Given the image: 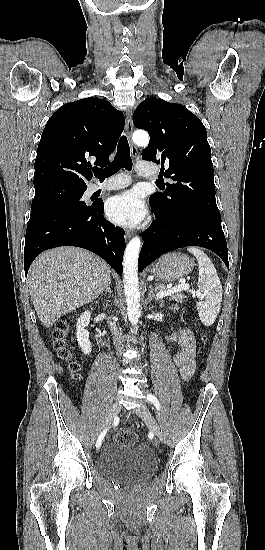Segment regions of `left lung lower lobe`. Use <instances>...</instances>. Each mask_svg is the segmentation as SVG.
I'll list each match as a JSON object with an SVG mask.
<instances>
[{
    "label": "left lung lower lobe",
    "instance_id": "1",
    "mask_svg": "<svg viewBox=\"0 0 265 550\" xmlns=\"http://www.w3.org/2000/svg\"><path fill=\"white\" fill-rule=\"evenodd\" d=\"M153 212L156 220L143 235L139 271L170 250L193 245L212 250L229 268L220 218L196 210H182L164 216Z\"/></svg>",
    "mask_w": 265,
    "mask_h": 550
}]
</instances>
